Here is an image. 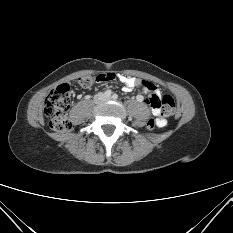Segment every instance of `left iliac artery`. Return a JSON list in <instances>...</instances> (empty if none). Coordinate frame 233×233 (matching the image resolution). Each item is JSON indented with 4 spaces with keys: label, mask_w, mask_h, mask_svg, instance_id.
I'll return each mask as SVG.
<instances>
[{
    "label": "left iliac artery",
    "mask_w": 233,
    "mask_h": 233,
    "mask_svg": "<svg viewBox=\"0 0 233 233\" xmlns=\"http://www.w3.org/2000/svg\"><path fill=\"white\" fill-rule=\"evenodd\" d=\"M112 98L116 100L118 98V95L117 94H113Z\"/></svg>",
    "instance_id": "1"
}]
</instances>
